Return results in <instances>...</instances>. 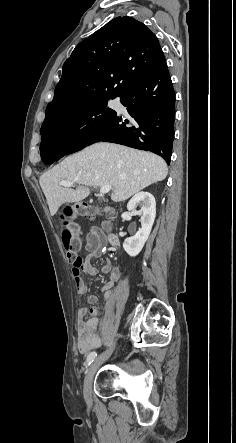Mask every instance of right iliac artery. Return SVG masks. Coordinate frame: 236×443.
<instances>
[{
	"mask_svg": "<svg viewBox=\"0 0 236 443\" xmlns=\"http://www.w3.org/2000/svg\"><path fill=\"white\" fill-rule=\"evenodd\" d=\"M96 356H97V353L95 351H92L89 353V355L87 356L86 363H85L86 367H88L93 362V360L95 359Z\"/></svg>",
	"mask_w": 236,
	"mask_h": 443,
	"instance_id": "82829eb1",
	"label": "right iliac artery"
}]
</instances>
